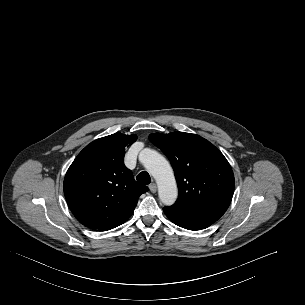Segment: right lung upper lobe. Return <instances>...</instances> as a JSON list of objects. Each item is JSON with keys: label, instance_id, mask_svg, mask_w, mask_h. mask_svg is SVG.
I'll return each mask as SVG.
<instances>
[{"label": "right lung upper lobe", "instance_id": "obj_1", "mask_svg": "<svg viewBox=\"0 0 305 305\" xmlns=\"http://www.w3.org/2000/svg\"><path fill=\"white\" fill-rule=\"evenodd\" d=\"M136 135L115 133L87 145L64 179V194L74 216L91 229L107 231L123 224L148 187L137 183L123 162Z\"/></svg>", "mask_w": 305, "mask_h": 305}]
</instances>
